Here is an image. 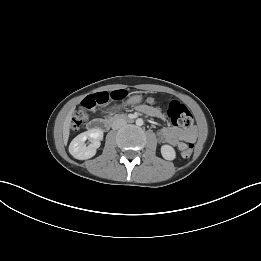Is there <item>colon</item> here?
Wrapping results in <instances>:
<instances>
[{
	"label": "colon",
	"instance_id": "colon-1",
	"mask_svg": "<svg viewBox=\"0 0 261 261\" xmlns=\"http://www.w3.org/2000/svg\"><path fill=\"white\" fill-rule=\"evenodd\" d=\"M127 96L128 94L126 91L117 90L111 93L101 92L87 97L83 101L81 107L74 114L71 124L72 129L75 131L79 130L87 119L89 113L104 108L110 100L123 102ZM148 102L151 104L155 102H162L164 105H166L167 116L174 125L188 128L193 124L192 114L188 108L179 101L167 102L161 97H150ZM193 150L194 143L190 142L182 148V155L184 157H190L193 153Z\"/></svg>",
	"mask_w": 261,
	"mask_h": 261
}]
</instances>
